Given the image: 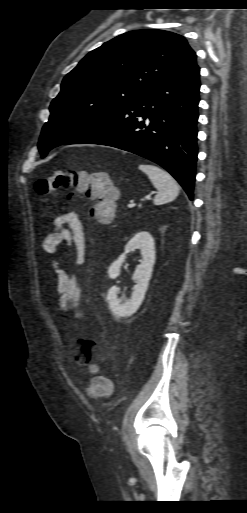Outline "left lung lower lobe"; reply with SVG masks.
Returning <instances> with one entry per match:
<instances>
[{"instance_id": "obj_1", "label": "left lung lower lobe", "mask_w": 247, "mask_h": 513, "mask_svg": "<svg viewBox=\"0 0 247 513\" xmlns=\"http://www.w3.org/2000/svg\"><path fill=\"white\" fill-rule=\"evenodd\" d=\"M199 71L195 56L180 73L65 145H107L147 158L174 176L193 200Z\"/></svg>"}]
</instances>
